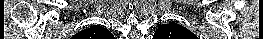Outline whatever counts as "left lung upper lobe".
<instances>
[{
  "label": "left lung upper lobe",
  "mask_w": 263,
  "mask_h": 39,
  "mask_svg": "<svg viewBox=\"0 0 263 39\" xmlns=\"http://www.w3.org/2000/svg\"><path fill=\"white\" fill-rule=\"evenodd\" d=\"M154 39H198L187 28L175 23L162 24L154 34Z\"/></svg>",
  "instance_id": "1"
}]
</instances>
